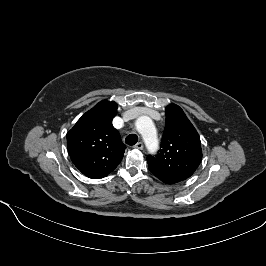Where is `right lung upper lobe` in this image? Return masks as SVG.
<instances>
[{
  "instance_id": "obj_1",
  "label": "right lung upper lobe",
  "mask_w": 266,
  "mask_h": 266,
  "mask_svg": "<svg viewBox=\"0 0 266 266\" xmlns=\"http://www.w3.org/2000/svg\"><path fill=\"white\" fill-rule=\"evenodd\" d=\"M114 101L103 100L86 112L67 133V149L74 165L87 177L107 176L121 162L125 145L111 120Z\"/></svg>"
}]
</instances>
